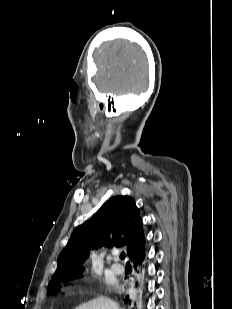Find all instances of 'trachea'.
Segmentation results:
<instances>
[{"instance_id":"3493384b","label":"trachea","mask_w":232,"mask_h":309,"mask_svg":"<svg viewBox=\"0 0 232 309\" xmlns=\"http://www.w3.org/2000/svg\"><path fill=\"white\" fill-rule=\"evenodd\" d=\"M120 257H121L122 259H125V253L122 252V253L120 254ZM127 263H128V262H127Z\"/></svg>"}]
</instances>
